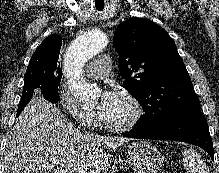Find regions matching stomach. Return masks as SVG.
Instances as JSON below:
<instances>
[{
  "label": "stomach",
  "mask_w": 219,
  "mask_h": 173,
  "mask_svg": "<svg viewBox=\"0 0 219 173\" xmlns=\"http://www.w3.org/2000/svg\"><path fill=\"white\" fill-rule=\"evenodd\" d=\"M163 161L160 151L146 141H136L128 147L127 162L134 173H156Z\"/></svg>",
  "instance_id": "obj_1"
}]
</instances>
